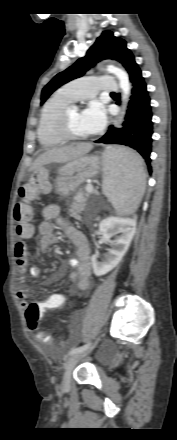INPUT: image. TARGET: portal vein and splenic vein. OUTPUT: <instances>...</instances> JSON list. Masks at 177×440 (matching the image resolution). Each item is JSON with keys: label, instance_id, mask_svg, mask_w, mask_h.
<instances>
[{"label": "portal vein and splenic vein", "instance_id": "portal-vein-and-splenic-vein-1", "mask_svg": "<svg viewBox=\"0 0 177 440\" xmlns=\"http://www.w3.org/2000/svg\"><path fill=\"white\" fill-rule=\"evenodd\" d=\"M86 190H87L88 192H92V191H93V186H92V185H87Z\"/></svg>", "mask_w": 177, "mask_h": 440}]
</instances>
